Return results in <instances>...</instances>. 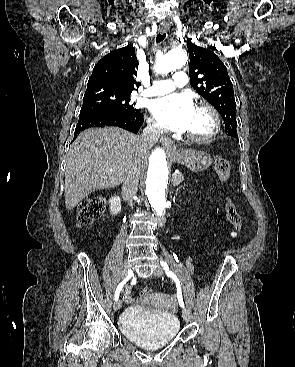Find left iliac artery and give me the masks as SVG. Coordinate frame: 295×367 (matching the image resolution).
<instances>
[{"label":"left iliac artery","mask_w":295,"mask_h":367,"mask_svg":"<svg viewBox=\"0 0 295 367\" xmlns=\"http://www.w3.org/2000/svg\"><path fill=\"white\" fill-rule=\"evenodd\" d=\"M160 264L163 267L166 275L168 277L172 278L175 281L176 287H177L178 302H179V305L182 308H184V302H183V298H182V291H181L180 281H179L178 277L169 269V266L165 261L161 260Z\"/></svg>","instance_id":"44dca946"}]
</instances>
